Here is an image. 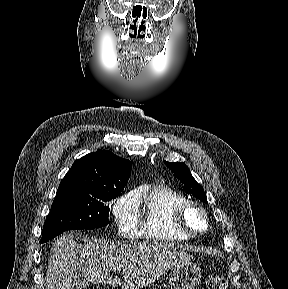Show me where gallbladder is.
<instances>
[{
  "instance_id": "obj_1",
  "label": "gallbladder",
  "mask_w": 288,
  "mask_h": 289,
  "mask_svg": "<svg viewBox=\"0 0 288 289\" xmlns=\"http://www.w3.org/2000/svg\"><path fill=\"white\" fill-rule=\"evenodd\" d=\"M73 282L76 286H84L86 284L85 279L77 273L73 275Z\"/></svg>"
}]
</instances>
